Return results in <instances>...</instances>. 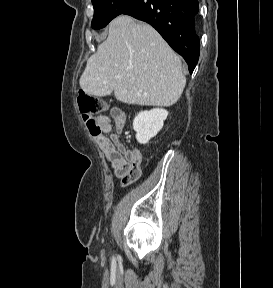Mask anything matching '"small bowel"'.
<instances>
[{"mask_svg":"<svg viewBox=\"0 0 273 288\" xmlns=\"http://www.w3.org/2000/svg\"><path fill=\"white\" fill-rule=\"evenodd\" d=\"M97 119L101 127V133L95 137L99 147L123 186L131 185L141 176L142 155L136 148L127 149L119 140L126 123L124 111L113 107L110 116L102 115Z\"/></svg>","mask_w":273,"mask_h":288,"instance_id":"obj_1","label":"small bowel"}]
</instances>
